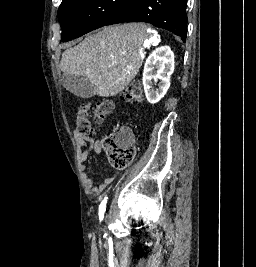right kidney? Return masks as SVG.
Listing matches in <instances>:
<instances>
[{"mask_svg":"<svg viewBox=\"0 0 256 267\" xmlns=\"http://www.w3.org/2000/svg\"><path fill=\"white\" fill-rule=\"evenodd\" d=\"M174 54L169 46H160L148 56L143 70L145 96L150 104H157L170 88V78L174 72ZM157 70V72H154ZM158 82V90H153V82Z\"/></svg>","mask_w":256,"mask_h":267,"instance_id":"1","label":"right kidney"}]
</instances>
